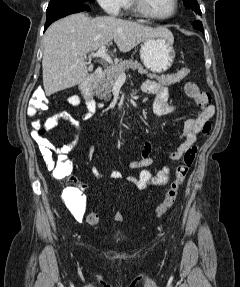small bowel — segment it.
<instances>
[{
	"mask_svg": "<svg viewBox=\"0 0 240 287\" xmlns=\"http://www.w3.org/2000/svg\"><path fill=\"white\" fill-rule=\"evenodd\" d=\"M141 89L144 93L153 95L154 100L152 103V112L156 116H164L175 109V106L169 102V92L168 88L159 82L147 80L145 81ZM67 102L76 108L81 106V99L77 95H70L67 97ZM201 112L195 118H189L184 122L182 134L180 136L179 142L171 144V147H175L168 154V159L170 161H178L181 159L183 154L189 149L197 139L198 134L203 130V127L209 120L214 116L215 107L213 105L200 106ZM95 106L91 101H86V110L83 112V117L90 118L94 114ZM29 116H34L35 113L29 108ZM60 121L68 122L72 128L76 129L78 124L75 118L68 112H59L49 118L44 122V129L50 131L54 129ZM32 137L34 141L39 146V151L42 158L48 165H52V153L56 152L58 157L68 159V154L74 150L77 146V135L75 134L72 140L62 146H55L46 138L40 136L35 130L32 131ZM153 150V143L150 141L145 142L141 154L132 162H130L129 167L132 169H143L146 170L154 164V159L151 157V152ZM94 153V146L88 144L87 157L89 160L92 159ZM92 175L97 178H103V174L97 165H94L91 169ZM109 178L113 180H119L123 178V173L119 170H113L109 173ZM127 180L133 185L136 184V176H128ZM71 181H76L75 178H71ZM85 185L80 184V189L83 190ZM81 190H74L66 195L65 204L74 219L77 222H82L86 213V197L81 192Z\"/></svg>",
	"mask_w": 240,
	"mask_h": 287,
	"instance_id": "obj_1",
	"label": "small bowel"
}]
</instances>
